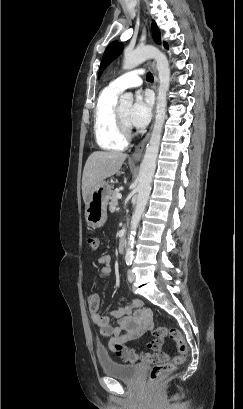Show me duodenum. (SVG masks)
Instances as JSON below:
<instances>
[{"label":"duodenum","instance_id":"obj_1","mask_svg":"<svg viewBox=\"0 0 243 409\" xmlns=\"http://www.w3.org/2000/svg\"><path fill=\"white\" fill-rule=\"evenodd\" d=\"M126 242H127V232L123 231L120 239H119V245L118 249L120 253H124L126 249Z\"/></svg>","mask_w":243,"mask_h":409}]
</instances>
